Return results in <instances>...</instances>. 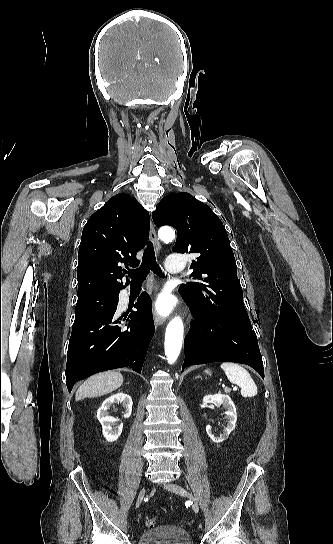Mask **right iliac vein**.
<instances>
[{
  "label": "right iliac vein",
  "instance_id": "obj_1",
  "mask_svg": "<svg viewBox=\"0 0 333 544\" xmlns=\"http://www.w3.org/2000/svg\"><path fill=\"white\" fill-rule=\"evenodd\" d=\"M145 496V489H141V491L138 494L137 500H136V508H138Z\"/></svg>",
  "mask_w": 333,
  "mask_h": 544
}]
</instances>
